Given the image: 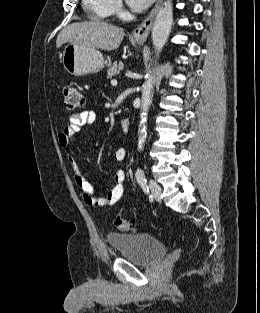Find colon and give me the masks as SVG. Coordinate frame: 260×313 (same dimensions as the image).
<instances>
[{"mask_svg":"<svg viewBox=\"0 0 260 313\" xmlns=\"http://www.w3.org/2000/svg\"><path fill=\"white\" fill-rule=\"evenodd\" d=\"M63 100L64 106L69 110L80 108L84 104V97L79 89L73 84H65L63 86ZM114 225L118 231L129 233L135 231V224L133 221L117 218Z\"/></svg>","mask_w":260,"mask_h":313,"instance_id":"1","label":"colon"}]
</instances>
